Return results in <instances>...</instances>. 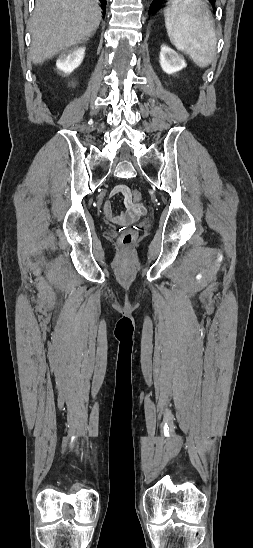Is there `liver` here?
<instances>
[{
    "mask_svg": "<svg viewBox=\"0 0 253 548\" xmlns=\"http://www.w3.org/2000/svg\"><path fill=\"white\" fill-rule=\"evenodd\" d=\"M101 19L98 0H36L30 24L32 62L43 63L87 41Z\"/></svg>",
    "mask_w": 253,
    "mask_h": 548,
    "instance_id": "liver-1",
    "label": "liver"
}]
</instances>
